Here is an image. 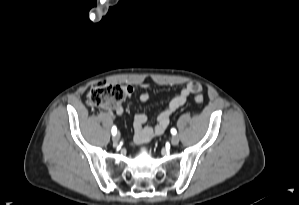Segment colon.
Here are the masks:
<instances>
[{"label":"colon","instance_id":"5ec220e1","mask_svg":"<svg viewBox=\"0 0 299 205\" xmlns=\"http://www.w3.org/2000/svg\"><path fill=\"white\" fill-rule=\"evenodd\" d=\"M126 95V87L100 80L92 85L86 102L91 108H115L122 103ZM194 99L198 104L204 102L201 94L195 95Z\"/></svg>","mask_w":299,"mask_h":205}]
</instances>
